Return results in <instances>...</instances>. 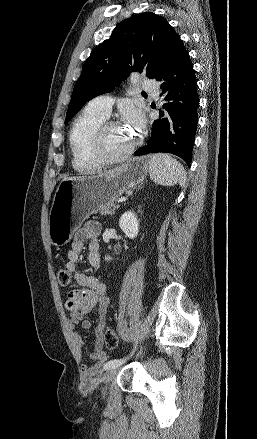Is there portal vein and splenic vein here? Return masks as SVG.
<instances>
[{
  "mask_svg": "<svg viewBox=\"0 0 257 439\" xmlns=\"http://www.w3.org/2000/svg\"><path fill=\"white\" fill-rule=\"evenodd\" d=\"M124 201H126V197H121L118 199V202H124Z\"/></svg>",
  "mask_w": 257,
  "mask_h": 439,
  "instance_id": "portal-vein-and-splenic-vein-1",
  "label": "portal vein and splenic vein"
}]
</instances>
